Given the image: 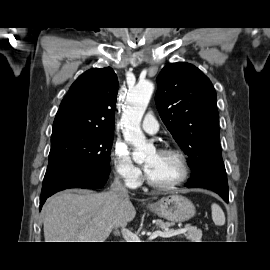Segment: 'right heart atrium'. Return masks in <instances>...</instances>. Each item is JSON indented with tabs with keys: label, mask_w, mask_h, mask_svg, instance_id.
Returning <instances> with one entry per match:
<instances>
[{
	"label": "right heart atrium",
	"mask_w": 270,
	"mask_h": 270,
	"mask_svg": "<svg viewBox=\"0 0 270 270\" xmlns=\"http://www.w3.org/2000/svg\"><path fill=\"white\" fill-rule=\"evenodd\" d=\"M111 162L115 175L130 187L137 186L142 177L141 170L136 166L127 147L116 142L111 149Z\"/></svg>",
	"instance_id": "d8ad5b80"
}]
</instances>
